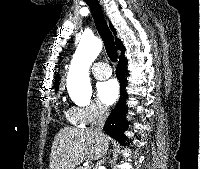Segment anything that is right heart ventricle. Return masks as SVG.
Wrapping results in <instances>:
<instances>
[{
  "label": "right heart ventricle",
  "mask_w": 200,
  "mask_h": 169,
  "mask_svg": "<svg viewBox=\"0 0 200 169\" xmlns=\"http://www.w3.org/2000/svg\"><path fill=\"white\" fill-rule=\"evenodd\" d=\"M65 115L68 119V121L74 125H80L77 116L75 115V113L73 112V110H68L65 112Z\"/></svg>",
  "instance_id": "1"
}]
</instances>
